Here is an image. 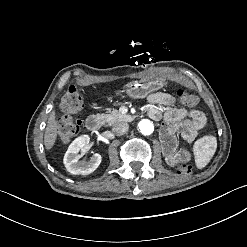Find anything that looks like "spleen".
Masks as SVG:
<instances>
[{
    "label": "spleen",
    "mask_w": 247,
    "mask_h": 247,
    "mask_svg": "<svg viewBox=\"0 0 247 247\" xmlns=\"http://www.w3.org/2000/svg\"><path fill=\"white\" fill-rule=\"evenodd\" d=\"M204 148L203 151H201L200 147H195L194 152H195V162L196 166L199 169H202L205 167L208 162L210 161V153L212 152V146L217 145L216 138L214 136H207L204 137Z\"/></svg>",
    "instance_id": "spleen-1"
}]
</instances>
